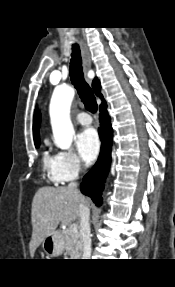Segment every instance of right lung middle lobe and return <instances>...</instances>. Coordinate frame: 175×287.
Instances as JSON below:
<instances>
[{"mask_svg": "<svg viewBox=\"0 0 175 287\" xmlns=\"http://www.w3.org/2000/svg\"><path fill=\"white\" fill-rule=\"evenodd\" d=\"M35 146H36V147H39V142L35 143Z\"/></svg>", "mask_w": 175, "mask_h": 287, "instance_id": "right-lung-middle-lobe-1", "label": "right lung middle lobe"}]
</instances>
